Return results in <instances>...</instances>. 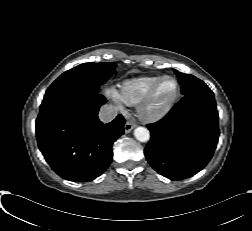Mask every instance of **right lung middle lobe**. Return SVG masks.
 <instances>
[{"label": "right lung middle lobe", "instance_id": "obj_1", "mask_svg": "<svg viewBox=\"0 0 252 231\" xmlns=\"http://www.w3.org/2000/svg\"><path fill=\"white\" fill-rule=\"evenodd\" d=\"M112 63H84L64 72L47 89L44 99L78 89H98L115 72Z\"/></svg>", "mask_w": 252, "mask_h": 231}]
</instances>
